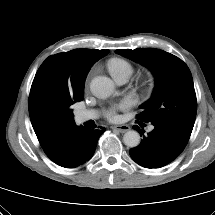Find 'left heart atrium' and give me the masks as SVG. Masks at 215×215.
Here are the masks:
<instances>
[{
  "instance_id": "left-heart-atrium-1",
  "label": "left heart atrium",
  "mask_w": 215,
  "mask_h": 215,
  "mask_svg": "<svg viewBox=\"0 0 215 215\" xmlns=\"http://www.w3.org/2000/svg\"><path fill=\"white\" fill-rule=\"evenodd\" d=\"M125 108L124 104H120L114 108L107 111L106 116L109 120H115L117 118V110Z\"/></svg>"
}]
</instances>
